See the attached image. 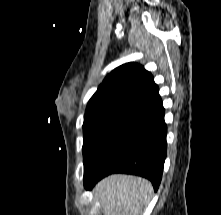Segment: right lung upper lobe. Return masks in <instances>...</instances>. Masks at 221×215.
Here are the masks:
<instances>
[{"mask_svg": "<svg viewBox=\"0 0 221 215\" xmlns=\"http://www.w3.org/2000/svg\"><path fill=\"white\" fill-rule=\"evenodd\" d=\"M159 97V88L151 73L131 62L107 75L88 104L118 103L138 109Z\"/></svg>", "mask_w": 221, "mask_h": 215, "instance_id": "cb5924a9", "label": "right lung upper lobe"}]
</instances>
